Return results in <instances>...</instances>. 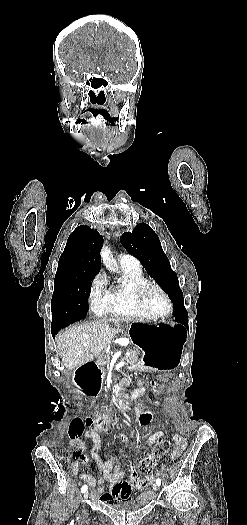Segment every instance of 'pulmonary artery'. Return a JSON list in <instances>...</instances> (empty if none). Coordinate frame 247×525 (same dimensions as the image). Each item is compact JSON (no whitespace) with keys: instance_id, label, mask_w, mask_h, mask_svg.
Segmentation results:
<instances>
[{"instance_id":"pulmonary-artery-1","label":"pulmonary artery","mask_w":247,"mask_h":525,"mask_svg":"<svg viewBox=\"0 0 247 525\" xmlns=\"http://www.w3.org/2000/svg\"><path fill=\"white\" fill-rule=\"evenodd\" d=\"M124 256H126V254H121V255H120V257H124Z\"/></svg>"}]
</instances>
